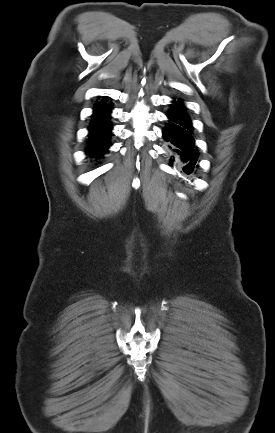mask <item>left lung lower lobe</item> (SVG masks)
<instances>
[{"mask_svg": "<svg viewBox=\"0 0 275 433\" xmlns=\"http://www.w3.org/2000/svg\"><path fill=\"white\" fill-rule=\"evenodd\" d=\"M166 115L168 122L163 129V138L167 142L170 163H176L189 175L199 162L192 122L180 99L173 101Z\"/></svg>", "mask_w": 275, "mask_h": 433, "instance_id": "0a47b994", "label": "left lung lower lobe"}]
</instances>
